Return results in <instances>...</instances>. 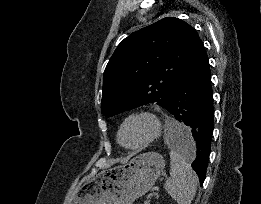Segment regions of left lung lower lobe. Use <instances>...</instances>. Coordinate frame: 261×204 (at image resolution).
<instances>
[{
  "label": "left lung lower lobe",
  "instance_id": "1",
  "mask_svg": "<svg viewBox=\"0 0 261 204\" xmlns=\"http://www.w3.org/2000/svg\"><path fill=\"white\" fill-rule=\"evenodd\" d=\"M167 110L187 126V133H176L177 142L194 158L192 168L202 185L211 150L214 107L208 56L199 37Z\"/></svg>",
  "mask_w": 261,
  "mask_h": 204
}]
</instances>
